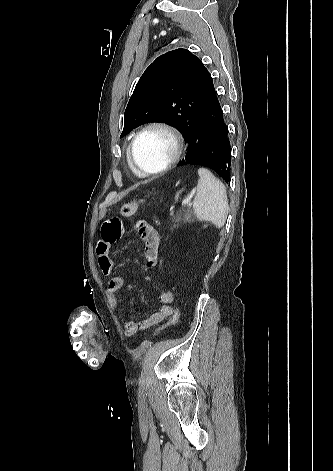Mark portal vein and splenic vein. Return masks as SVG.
Segmentation results:
<instances>
[{
	"instance_id": "1",
	"label": "portal vein and splenic vein",
	"mask_w": 333,
	"mask_h": 471,
	"mask_svg": "<svg viewBox=\"0 0 333 471\" xmlns=\"http://www.w3.org/2000/svg\"><path fill=\"white\" fill-rule=\"evenodd\" d=\"M191 198H192V194H190L187 198H185L182 201V206H191Z\"/></svg>"
}]
</instances>
